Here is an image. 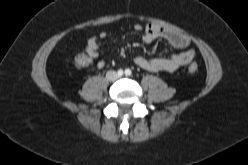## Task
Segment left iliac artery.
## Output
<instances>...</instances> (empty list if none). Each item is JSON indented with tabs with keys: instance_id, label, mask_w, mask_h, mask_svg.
<instances>
[{
	"instance_id": "1",
	"label": "left iliac artery",
	"mask_w": 248,
	"mask_h": 165,
	"mask_svg": "<svg viewBox=\"0 0 248 165\" xmlns=\"http://www.w3.org/2000/svg\"><path fill=\"white\" fill-rule=\"evenodd\" d=\"M131 73H132V72H131V70H130V69H126V70H125V74H126L127 76H130V75H131Z\"/></svg>"
}]
</instances>
